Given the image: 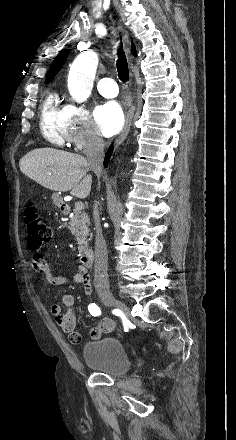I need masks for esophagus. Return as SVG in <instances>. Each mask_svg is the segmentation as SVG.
Returning <instances> with one entry per match:
<instances>
[{
    "instance_id": "1",
    "label": "esophagus",
    "mask_w": 236,
    "mask_h": 440,
    "mask_svg": "<svg viewBox=\"0 0 236 440\" xmlns=\"http://www.w3.org/2000/svg\"><path fill=\"white\" fill-rule=\"evenodd\" d=\"M133 114H134V106H132L126 114L124 128H123L122 132L120 133L119 137L115 141L116 146L121 144L124 141V139L126 138L128 132L130 130Z\"/></svg>"
}]
</instances>
